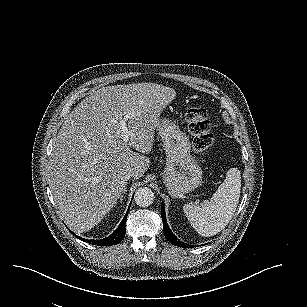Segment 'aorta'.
<instances>
[{"label": "aorta", "mask_w": 307, "mask_h": 307, "mask_svg": "<svg viewBox=\"0 0 307 307\" xmlns=\"http://www.w3.org/2000/svg\"><path fill=\"white\" fill-rule=\"evenodd\" d=\"M134 200L138 206L148 207L154 201V193L148 187H141L135 192Z\"/></svg>", "instance_id": "762f6f07"}]
</instances>
